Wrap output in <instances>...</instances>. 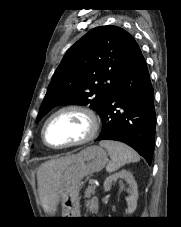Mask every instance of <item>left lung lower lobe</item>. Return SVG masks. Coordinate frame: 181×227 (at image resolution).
Instances as JSON below:
<instances>
[{
	"mask_svg": "<svg viewBox=\"0 0 181 227\" xmlns=\"http://www.w3.org/2000/svg\"><path fill=\"white\" fill-rule=\"evenodd\" d=\"M101 118L104 130L97 141L124 142L151 163L156 127L154 90L140 49L115 86Z\"/></svg>",
	"mask_w": 181,
	"mask_h": 227,
	"instance_id": "1",
	"label": "left lung lower lobe"
}]
</instances>
